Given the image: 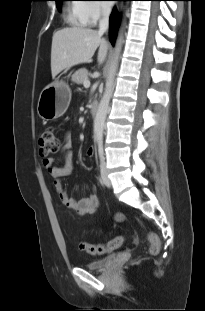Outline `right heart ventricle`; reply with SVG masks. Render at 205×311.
<instances>
[{"mask_svg": "<svg viewBox=\"0 0 205 311\" xmlns=\"http://www.w3.org/2000/svg\"><path fill=\"white\" fill-rule=\"evenodd\" d=\"M67 20L73 26H86L88 21L83 11V5L79 3L71 4L68 8Z\"/></svg>", "mask_w": 205, "mask_h": 311, "instance_id": "obj_1", "label": "right heart ventricle"}]
</instances>
